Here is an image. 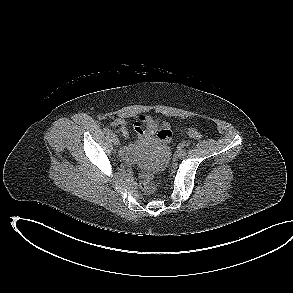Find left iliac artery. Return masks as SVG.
Masks as SVG:
<instances>
[{
	"mask_svg": "<svg viewBox=\"0 0 293 293\" xmlns=\"http://www.w3.org/2000/svg\"><path fill=\"white\" fill-rule=\"evenodd\" d=\"M188 147V143L187 142H182L179 146V149L181 151H186V148Z\"/></svg>",
	"mask_w": 293,
	"mask_h": 293,
	"instance_id": "obj_1",
	"label": "left iliac artery"
}]
</instances>
